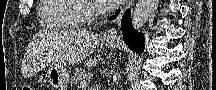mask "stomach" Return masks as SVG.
Instances as JSON below:
<instances>
[{
    "instance_id": "obj_1",
    "label": "stomach",
    "mask_w": 216,
    "mask_h": 90,
    "mask_svg": "<svg viewBox=\"0 0 216 90\" xmlns=\"http://www.w3.org/2000/svg\"><path fill=\"white\" fill-rule=\"evenodd\" d=\"M105 46L108 48H115L117 46L116 41H106ZM47 82L58 90H65L69 84L70 73L57 66H50L45 71Z\"/></svg>"
}]
</instances>
